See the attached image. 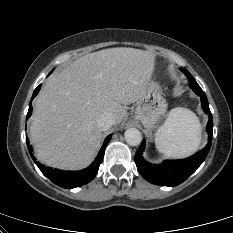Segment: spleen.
Masks as SVG:
<instances>
[{
	"mask_svg": "<svg viewBox=\"0 0 233 233\" xmlns=\"http://www.w3.org/2000/svg\"><path fill=\"white\" fill-rule=\"evenodd\" d=\"M201 142V124L189 109H172L155 133L157 150L165 156L183 158L193 154Z\"/></svg>",
	"mask_w": 233,
	"mask_h": 233,
	"instance_id": "3e777b00",
	"label": "spleen"
}]
</instances>
